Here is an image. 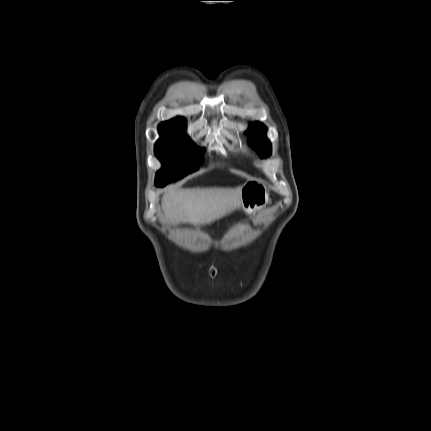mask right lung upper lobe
Masks as SVG:
<instances>
[{"instance_id": "right-lung-upper-lobe-1", "label": "right lung upper lobe", "mask_w": 431, "mask_h": 431, "mask_svg": "<svg viewBox=\"0 0 431 431\" xmlns=\"http://www.w3.org/2000/svg\"><path fill=\"white\" fill-rule=\"evenodd\" d=\"M158 127L168 128V129H177V130H185L186 121L183 117H178L176 119H172L169 121H165L161 123Z\"/></svg>"}]
</instances>
